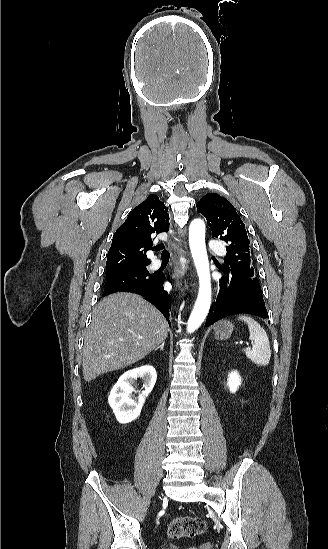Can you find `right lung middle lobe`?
<instances>
[{
  "label": "right lung middle lobe",
  "mask_w": 328,
  "mask_h": 549,
  "mask_svg": "<svg viewBox=\"0 0 328 549\" xmlns=\"http://www.w3.org/2000/svg\"><path fill=\"white\" fill-rule=\"evenodd\" d=\"M155 276L156 273H149L146 266L106 273L104 292L131 285L148 284Z\"/></svg>",
  "instance_id": "right-lung-middle-lobe-1"
}]
</instances>
